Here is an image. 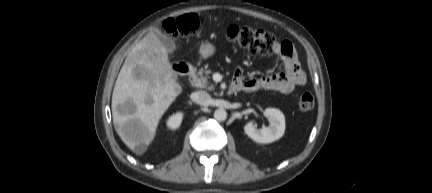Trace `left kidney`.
Wrapping results in <instances>:
<instances>
[{
  "label": "left kidney",
  "mask_w": 432,
  "mask_h": 193,
  "mask_svg": "<svg viewBox=\"0 0 432 193\" xmlns=\"http://www.w3.org/2000/svg\"><path fill=\"white\" fill-rule=\"evenodd\" d=\"M269 121L268 127L257 129L253 122L244 126V131L253 141L267 144L280 139L285 132V117L283 113L275 108H267L263 112Z\"/></svg>",
  "instance_id": "1"
}]
</instances>
